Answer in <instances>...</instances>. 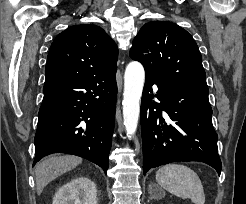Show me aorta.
<instances>
[{
	"label": "aorta",
	"mask_w": 246,
	"mask_h": 204,
	"mask_svg": "<svg viewBox=\"0 0 246 204\" xmlns=\"http://www.w3.org/2000/svg\"><path fill=\"white\" fill-rule=\"evenodd\" d=\"M144 80L145 72L141 63L130 62L125 70L123 93V121L128 137H132L137 130Z\"/></svg>",
	"instance_id": "aorta-1"
}]
</instances>
